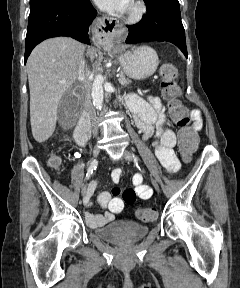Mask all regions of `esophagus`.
<instances>
[{"mask_svg":"<svg viewBox=\"0 0 240 288\" xmlns=\"http://www.w3.org/2000/svg\"><path fill=\"white\" fill-rule=\"evenodd\" d=\"M119 27L120 23L118 20L106 16L98 18L95 23V38L97 42L104 47L112 46L115 31Z\"/></svg>","mask_w":240,"mask_h":288,"instance_id":"obj_1","label":"esophagus"}]
</instances>
